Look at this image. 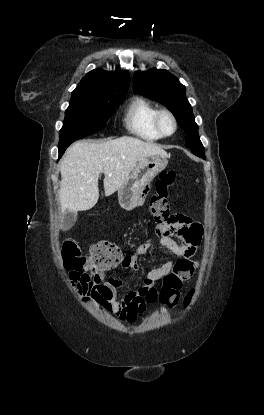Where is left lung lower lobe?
I'll use <instances>...</instances> for the list:
<instances>
[{"instance_id":"obj_1","label":"left lung lower lobe","mask_w":264,"mask_h":415,"mask_svg":"<svg viewBox=\"0 0 264 415\" xmlns=\"http://www.w3.org/2000/svg\"><path fill=\"white\" fill-rule=\"evenodd\" d=\"M196 156H199V157H201V158H203V159H205V153H204V151H202V152H193Z\"/></svg>"}]
</instances>
